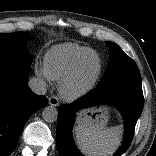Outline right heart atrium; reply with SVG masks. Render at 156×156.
<instances>
[{
	"instance_id": "1",
	"label": "right heart atrium",
	"mask_w": 156,
	"mask_h": 156,
	"mask_svg": "<svg viewBox=\"0 0 156 156\" xmlns=\"http://www.w3.org/2000/svg\"><path fill=\"white\" fill-rule=\"evenodd\" d=\"M35 72L41 79H43L45 81L50 80V78H49V76H48V74H47L44 67L36 66L35 67Z\"/></svg>"
}]
</instances>
